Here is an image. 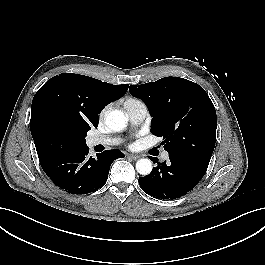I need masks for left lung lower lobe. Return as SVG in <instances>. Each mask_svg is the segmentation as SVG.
I'll return each mask as SVG.
<instances>
[{"instance_id":"obj_1","label":"left lung lower lobe","mask_w":265,"mask_h":265,"mask_svg":"<svg viewBox=\"0 0 265 265\" xmlns=\"http://www.w3.org/2000/svg\"><path fill=\"white\" fill-rule=\"evenodd\" d=\"M156 163L157 159L150 157ZM205 168L193 162L174 159L158 163L152 173L139 178L145 193L161 199H175L192 190L206 173Z\"/></svg>"}]
</instances>
